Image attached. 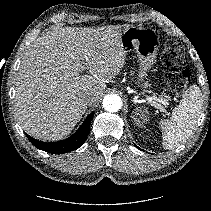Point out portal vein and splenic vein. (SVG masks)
<instances>
[{
    "instance_id": "obj_1",
    "label": "portal vein and splenic vein",
    "mask_w": 211,
    "mask_h": 211,
    "mask_svg": "<svg viewBox=\"0 0 211 211\" xmlns=\"http://www.w3.org/2000/svg\"><path fill=\"white\" fill-rule=\"evenodd\" d=\"M145 98L148 100V102L156 107L157 109H159L161 112H164L165 109L164 107L160 104V103H157V102H161L162 104H167V102L163 101V100H159L157 99L156 97H151V96H148L146 95Z\"/></svg>"
}]
</instances>
